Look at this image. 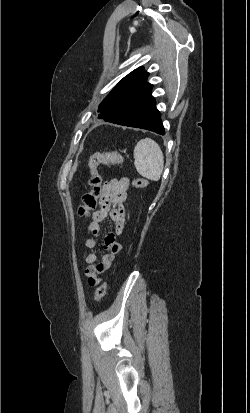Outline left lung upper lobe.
<instances>
[{
	"mask_svg": "<svg viewBox=\"0 0 250 413\" xmlns=\"http://www.w3.org/2000/svg\"><path fill=\"white\" fill-rule=\"evenodd\" d=\"M148 75L143 67H139L124 77L99 105L98 117L103 118L121 110L122 101L138 86L146 83Z\"/></svg>",
	"mask_w": 250,
	"mask_h": 413,
	"instance_id": "left-lung-upper-lobe-1",
	"label": "left lung upper lobe"
}]
</instances>
